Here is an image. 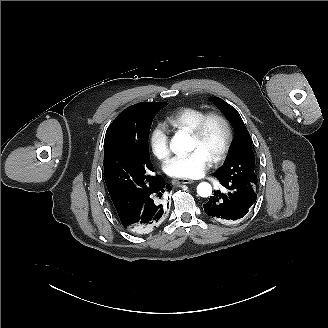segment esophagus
Returning a JSON list of instances; mask_svg holds the SVG:
<instances>
[{"mask_svg": "<svg viewBox=\"0 0 328 328\" xmlns=\"http://www.w3.org/2000/svg\"><path fill=\"white\" fill-rule=\"evenodd\" d=\"M177 183L191 184V183H194V180L188 179V178H179V179H177Z\"/></svg>", "mask_w": 328, "mask_h": 328, "instance_id": "esophagus-1", "label": "esophagus"}]
</instances>
